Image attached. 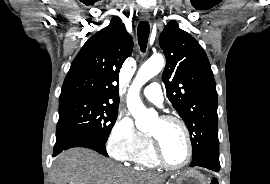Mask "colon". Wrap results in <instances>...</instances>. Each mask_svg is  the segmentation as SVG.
<instances>
[{
	"label": "colon",
	"mask_w": 270,
	"mask_h": 184,
	"mask_svg": "<svg viewBox=\"0 0 270 184\" xmlns=\"http://www.w3.org/2000/svg\"><path fill=\"white\" fill-rule=\"evenodd\" d=\"M209 184H219V183H218V180H217V179L212 178V179L210 180Z\"/></svg>",
	"instance_id": "colon-1"
}]
</instances>
